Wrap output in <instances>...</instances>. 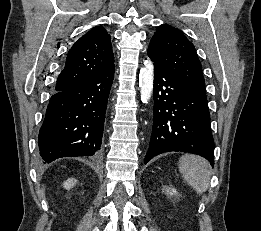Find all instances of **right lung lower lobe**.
<instances>
[{"mask_svg": "<svg viewBox=\"0 0 261 231\" xmlns=\"http://www.w3.org/2000/svg\"><path fill=\"white\" fill-rule=\"evenodd\" d=\"M113 78L114 67L52 95L38 136L43 163L100 153Z\"/></svg>", "mask_w": 261, "mask_h": 231, "instance_id": "1", "label": "right lung lower lobe"}]
</instances>
